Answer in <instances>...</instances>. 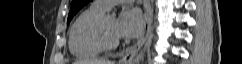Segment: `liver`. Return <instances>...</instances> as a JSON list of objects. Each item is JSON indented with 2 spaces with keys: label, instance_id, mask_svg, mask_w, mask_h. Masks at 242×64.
Here are the masks:
<instances>
[{
  "label": "liver",
  "instance_id": "1",
  "mask_svg": "<svg viewBox=\"0 0 242 64\" xmlns=\"http://www.w3.org/2000/svg\"><path fill=\"white\" fill-rule=\"evenodd\" d=\"M75 64H113L107 59H86L76 61Z\"/></svg>",
  "mask_w": 242,
  "mask_h": 64
}]
</instances>
